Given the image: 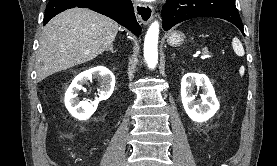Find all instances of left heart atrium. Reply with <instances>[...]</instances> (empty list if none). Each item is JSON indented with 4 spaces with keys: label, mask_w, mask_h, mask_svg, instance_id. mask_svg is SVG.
<instances>
[{
    "label": "left heart atrium",
    "mask_w": 277,
    "mask_h": 166,
    "mask_svg": "<svg viewBox=\"0 0 277 166\" xmlns=\"http://www.w3.org/2000/svg\"><path fill=\"white\" fill-rule=\"evenodd\" d=\"M143 1H151V0H143Z\"/></svg>",
    "instance_id": "left-heart-atrium-1"
}]
</instances>
